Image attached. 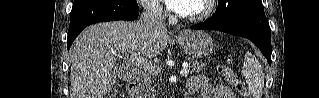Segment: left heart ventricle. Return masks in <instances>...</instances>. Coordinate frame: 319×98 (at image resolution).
I'll return each instance as SVG.
<instances>
[{
  "mask_svg": "<svg viewBox=\"0 0 319 98\" xmlns=\"http://www.w3.org/2000/svg\"><path fill=\"white\" fill-rule=\"evenodd\" d=\"M202 8L201 0H194L189 2L188 9L184 12V14H193L200 11Z\"/></svg>",
  "mask_w": 319,
  "mask_h": 98,
  "instance_id": "b2bd125f",
  "label": "left heart ventricle"
}]
</instances>
